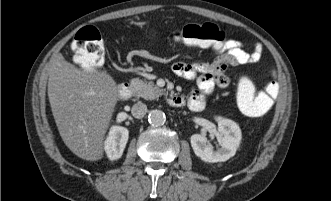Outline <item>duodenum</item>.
<instances>
[{
    "instance_id": "1",
    "label": "duodenum",
    "mask_w": 331,
    "mask_h": 201,
    "mask_svg": "<svg viewBox=\"0 0 331 201\" xmlns=\"http://www.w3.org/2000/svg\"><path fill=\"white\" fill-rule=\"evenodd\" d=\"M132 91V86L128 82H123L119 84L117 88V97L120 101H125L128 99ZM168 103L172 107H180L184 105V98L177 94H170L168 96Z\"/></svg>"
}]
</instances>
